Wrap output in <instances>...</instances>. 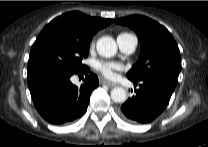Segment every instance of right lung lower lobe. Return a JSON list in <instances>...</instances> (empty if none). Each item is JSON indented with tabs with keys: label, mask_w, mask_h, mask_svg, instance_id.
<instances>
[{
	"label": "right lung lower lobe",
	"mask_w": 208,
	"mask_h": 147,
	"mask_svg": "<svg viewBox=\"0 0 208 147\" xmlns=\"http://www.w3.org/2000/svg\"><path fill=\"white\" fill-rule=\"evenodd\" d=\"M86 67L78 72L40 70L28 73L27 82L34 105L39 114L52 124L70 123L86 111L98 77ZM73 74H85L80 87L73 85Z\"/></svg>",
	"instance_id": "right-lung-lower-lobe-1"
}]
</instances>
